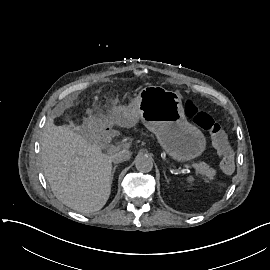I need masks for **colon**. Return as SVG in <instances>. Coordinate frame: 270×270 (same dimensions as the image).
I'll return each mask as SVG.
<instances>
[{"label":"colon","instance_id":"colon-1","mask_svg":"<svg viewBox=\"0 0 270 270\" xmlns=\"http://www.w3.org/2000/svg\"><path fill=\"white\" fill-rule=\"evenodd\" d=\"M185 111L187 116L203 130L207 131L212 145L221 154L222 170L226 174H231L235 170L232 149L228 138L222 127L207 112L200 110L190 102L186 104Z\"/></svg>","mask_w":270,"mask_h":270}]
</instances>
